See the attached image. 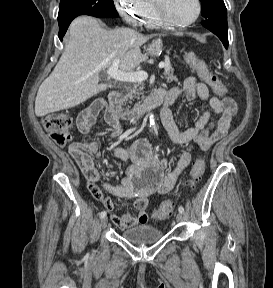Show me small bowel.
<instances>
[{
	"label": "small bowel",
	"mask_w": 273,
	"mask_h": 288,
	"mask_svg": "<svg viewBox=\"0 0 273 288\" xmlns=\"http://www.w3.org/2000/svg\"><path fill=\"white\" fill-rule=\"evenodd\" d=\"M166 92L172 103L181 93H184L187 100L192 101L199 97L209 106L193 127L183 131L178 129L170 113V118L164 125L174 143L183 145L194 141L202 150H208L213 143L225 137L230 131L237 112V104L232 98L211 96L208 86L195 77L185 79L182 86L174 87ZM103 106V102H95L79 113L76 119V129L80 141L71 144L68 151L82 171L92 196L112 211L114 204L103 194L99 185L100 173L96 166V160L100 156L98 145L94 141H87L83 138L91 129ZM106 121L114 128L113 135L120 136L121 123L111 119L107 113ZM111 154L129 162V165L119 185L105 183L103 187L116 197L134 199L133 207L137 211L135 216L112 214V222L121 229L146 224L148 197L154 194L163 195L171 191L182 170L189 165L191 160L190 154L183 152L176 168L166 172L165 162H159L154 157L145 140L135 141L127 147H116Z\"/></svg>",
	"instance_id": "small-bowel-1"
}]
</instances>
